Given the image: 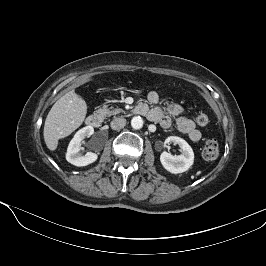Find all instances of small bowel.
Listing matches in <instances>:
<instances>
[{
	"mask_svg": "<svg viewBox=\"0 0 266 266\" xmlns=\"http://www.w3.org/2000/svg\"><path fill=\"white\" fill-rule=\"evenodd\" d=\"M148 101L156 104L161 100V96L157 91H150ZM144 112L141 115L146 116L153 122H158L162 127L169 128L172 124L171 117L175 118L177 129L186 134L190 140L199 141L201 132L195 127L193 121L188 118L182 106L179 104H170L166 108H151L147 104L139 105Z\"/></svg>",
	"mask_w": 266,
	"mask_h": 266,
	"instance_id": "small-bowel-1",
	"label": "small bowel"
}]
</instances>
